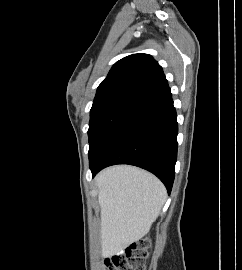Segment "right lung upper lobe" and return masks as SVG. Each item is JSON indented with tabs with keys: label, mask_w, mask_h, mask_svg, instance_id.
Instances as JSON below:
<instances>
[{
	"label": "right lung upper lobe",
	"mask_w": 242,
	"mask_h": 270,
	"mask_svg": "<svg viewBox=\"0 0 242 270\" xmlns=\"http://www.w3.org/2000/svg\"><path fill=\"white\" fill-rule=\"evenodd\" d=\"M161 66L148 54L116 62L97 89L92 108L118 102L139 105L168 89Z\"/></svg>",
	"instance_id": "right-lung-upper-lobe-1"
}]
</instances>
